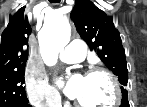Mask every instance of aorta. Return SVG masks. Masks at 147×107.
<instances>
[{
    "mask_svg": "<svg viewBox=\"0 0 147 107\" xmlns=\"http://www.w3.org/2000/svg\"><path fill=\"white\" fill-rule=\"evenodd\" d=\"M71 27L66 22L46 21L38 34L40 53L48 66H54L58 60L59 51L68 44Z\"/></svg>",
    "mask_w": 147,
    "mask_h": 107,
    "instance_id": "1",
    "label": "aorta"
}]
</instances>
